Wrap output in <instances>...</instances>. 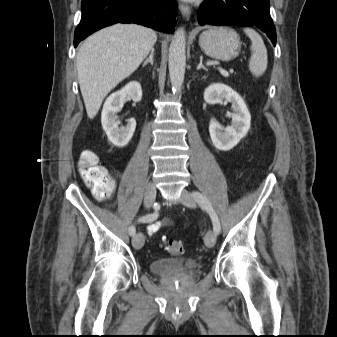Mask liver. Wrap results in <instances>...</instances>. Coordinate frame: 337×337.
Returning <instances> with one entry per match:
<instances>
[{"instance_id":"obj_1","label":"liver","mask_w":337,"mask_h":337,"mask_svg":"<svg viewBox=\"0 0 337 337\" xmlns=\"http://www.w3.org/2000/svg\"><path fill=\"white\" fill-rule=\"evenodd\" d=\"M156 41L155 31L136 24H115L84 41L76 65L90 119L96 116L106 95L139 67Z\"/></svg>"}]
</instances>
